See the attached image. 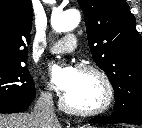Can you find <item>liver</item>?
I'll return each instance as SVG.
<instances>
[{
	"instance_id": "6515ba94",
	"label": "liver",
	"mask_w": 142,
	"mask_h": 128,
	"mask_svg": "<svg viewBox=\"0 0 142 128\" xmlns=\"http://www.w3.org/2000/svg\"><path fill=\"white\" fill-rule=\"evenodd\" d=\"M0 128H40V123L33 113L0 114ZM51 128H61L59 121L57 120Z\"/></svg>"
}]
</instances>
